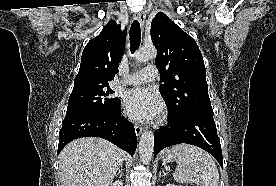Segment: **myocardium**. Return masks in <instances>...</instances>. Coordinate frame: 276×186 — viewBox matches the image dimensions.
I'll use <instances>...</instances> for the list:
<instances>
[{"label":"myocardium","instance_id":"obj_1","mask_svg":"<svg viewBox=\"0 0 276 186\" xmlns=\"http://www.w3.org/2000/svg\"><path fill=\"white\" fill-rule=\"evenodd\" d=\"M166 120V114L163 113L161 118H160V122H164Z\"/></svg>","mask_w":276,"mask_h":186}]
</instances>
